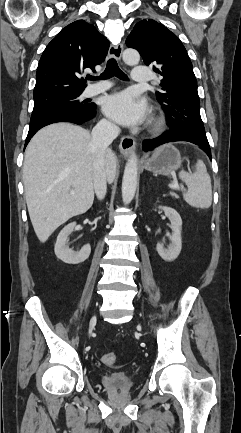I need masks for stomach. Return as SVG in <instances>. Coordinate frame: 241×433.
Returning a JSON list of instances; mask_svg holds the SVG:
<instances>
[{"label": "stomach", "mask_w": 241, "mask_h": 433, "mask_svg": "<svg viewBox=\"0 0 241 433\" xmlns=\"http://www.w3.org/2000/svg\"><path fill=\"white\" fill-rule=\"evenodd\" d=\"M182 163L180 152L171 144L158 147L144 162V168L155 175H171Z\"/></svg>", "instance_id": "1"}]
</instances>
